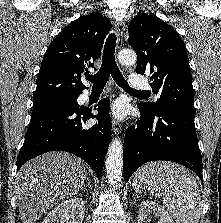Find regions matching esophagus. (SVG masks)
<instances>
[{
  "label": "esophagus",
  "instance_id": "obj_1",
  "mask_svg": "<svg viewBox=\"0 0 221 223\" xmlns=\"http://www.w3.org/2000/svg\"><path fill=\"white\" fill-rule=\"evenodd\" d=\"M114 26H115V29H116V33H117V49H120L123 45V34H124V27H125V24L124 22L122 21H116L114 23ZM121 129H122V124L113 119L112 120V130L113 132L118 135L121 133Z\"/></svg>",
  "mask_w": 221,
  "mask_h": 223
}]
</instances>
